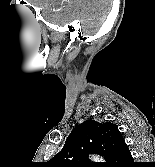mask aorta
<instances>
[{
    "label": "aorta",
    "instance_id": "obj_1",
    "mask_svg": "<svg viewBox=\"0 0 155 167\" xmlns=\"http://www.w3.org/2000/svg\"><path fill=\"white\" fill-rule=\"evenodd\" d=\"M92 159L94 160V161H99V157L98 156H94V157H92ZM101 160V159H100Z\"/></svg>",
    "mask_w": 155,
    "mask_h": 167
}]
</instances>
